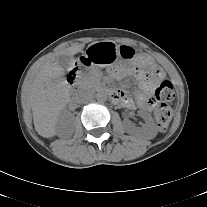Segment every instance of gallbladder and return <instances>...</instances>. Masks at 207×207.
<instances>
[{"label": "gallbladder", "instance_id": "1", "mask_svg": "<svg viewBox=\"0 0 207 207\" xmlns=\"http://www.w3.org/2000/svg\"><path fill=\"white\" fill-rule=\"evenodd\" d=\"M57 62L60 66L68 68L72 64L73 58L68 56H59L57 58Z\"/></svg>", "mask_w": 207, "mask_h": 207}]
</instances>
